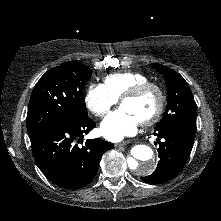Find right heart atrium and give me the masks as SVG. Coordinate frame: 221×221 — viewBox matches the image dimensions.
I'll use <instances>...</instances> for the list:
<instances>
[{
    "mask_svg": "<svg viewBox=\"0 0 221 221\" xmlns=\"http://www.w3.org/2000/svg\"><path fill=\"white\" fill-rule=\"evenodd\" d=\"M117 102L104 84H91L85 95L88 110L97 117H104Z\"/></svg>",
    "mask_w": 221,
    "mask_h": 221,
    "instance_id": "obj_1",
    "label": "right heart atrium"
}]
</instances>
